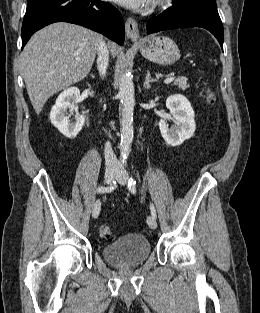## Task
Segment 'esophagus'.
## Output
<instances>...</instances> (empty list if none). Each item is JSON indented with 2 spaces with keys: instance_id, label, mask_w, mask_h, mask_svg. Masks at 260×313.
Here are the masks:
<instances>
[{
  "instance_id": "34e87169",
  "label": "esophagus",
  "mask_w": 260,
  "mask_h": 313,
  "mask_svg": "<svg viewBox=\"0 0 260 313\" xmlns=\"http://www.w3.org/2000/svg\"><path fill=\"white\" fill-rule=\"evenodd\" d=\"M125 32L129 39L132 41H137L139 39L140 33L137 22L129 17L125 22Z\"/></svg>"
}]
</instances>
